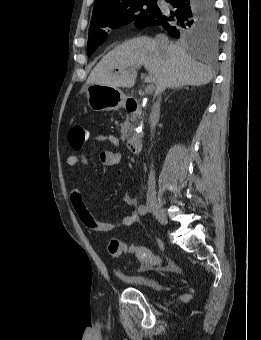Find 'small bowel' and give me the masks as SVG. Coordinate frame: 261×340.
<instances>
[{"label": "small bowel", "instance_id": "obj_1", "mask_svg": "<svg viewBox=\"0 0 261 340\" xmlns=\"http://www.w3.org/2000/svg\"><path fill=\"white\" fill-rule=\"evenodd\" d=\"M92 142H102L113 147L119 146V139L112 134H91L87 131V139ZM101 163L105 166H114L120 163L122 154L111 150H102L99 154ZM70 166L88 165V159L84 155L74 153L67 158ZM70 203L75 210L80 221L90 230L95 232L108 233L121 227H127L135 224L139 220V211H134L130 215L114 222L98 221L87 207L83 195L79 188H73L69 194ZM126 204L136 206V199L130 195L124 197Z\"/></svg>", "mask_w": 261, "mask_h": 340}]
</instances>
